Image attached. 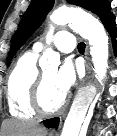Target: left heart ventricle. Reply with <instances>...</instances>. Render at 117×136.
Segmentation results:
<instances>
[{
    "label": "left heart ventricle",
    "mask_w": 117,
    "mask_h": 136,
    "mask_svg": "<svg viewBox=\"0 0 117 136\" xmlns=\"http://www.w3.org/2000/svg\"><path fill=\"white\" fill-rule=\"evenodd\" d=\"M56 70L49 69L43 72L44 85L42 89L41 99L45 108L54 109L61 102L64 95L55 86Z\"/></svg>",
    "instance_id": "1"
}]
</instances>
